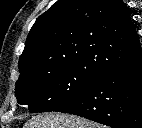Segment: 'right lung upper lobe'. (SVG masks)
<instances>
[{
	"mask_svg": "<svg viewBox=\"0 0 142 128\" xmlns=\"http://www.w3.org/2000/svg\"><path fill=\"white\" fill-rule=\"evenodd\" d=\"M141 56L122 0H59L32 26L19 59V79L75 65L98 78Z\"/></svg>",
	"mask_w": 142,
	"mask_h": 128,
	"instance_id": "1",
	"label": "right lung upper lobe"
}]
</instances>
